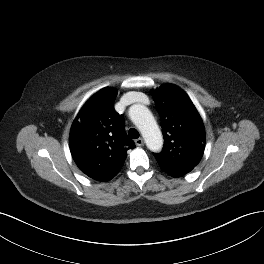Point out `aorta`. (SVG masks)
Here are the masks:
<instances>
[{
  "mask_svg": "<svg viewBox=\"0 0 264 264\" xmlns=\"http://www.w3.org/2000/svg\"><path fill=\"white\" fill-rule=\"evenodd\" d=\"M129 115L133 123L140 130L147 147L158 152L163 146L162 133L150 110L141 104L132 105Z\"/></svg>",
  "mask_w": 264,
  "mask_h": 264,
  "instance_id": "obj_1",
  "label": "aorta"
}]
</instances>
